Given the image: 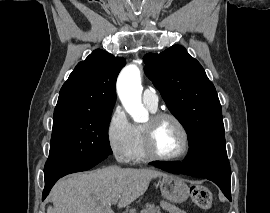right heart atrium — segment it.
I'll use <instances>...</instances> for the list:
<instances>
[{
    "label": "right heart atrium",
    "mask_w": 270,
    "mask_h": 213,
    "mask_svg": "<svg viewBox=\"0 0 270 213\" xmlns=\"http://www.w3.org/2000/svg\"><path fill=\"white\" fill-rule=\"evenodd\" d=\"M106 135L109 148L115 158L120 162L129 161L133 144V125L122 107L116 106L113 109Z\"/></svg>",
    "instance_id": "d8ad5b80"
}]
</instances>
